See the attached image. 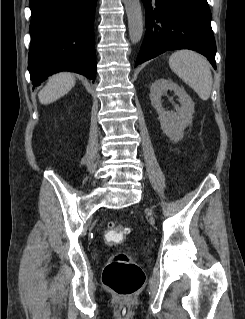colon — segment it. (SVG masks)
<instances>
[{"instance_id":"1","label":"colon","mask_w":245,"mask_h":319,"mask_svg":"<svg viewBox=\"0 0 245 319\" xmlns=\"http://www.w3.org/2000/svg\"><path fill=\"white\" fill-rule=\"evenodd\" d=\"M129 231L127 226L111 222L104 231V237L108 243L118 244L125 239ZM144 281L143 270L125 253L113 255L102 276L104 286L125 301L131 300L138 293Z\"/></svg>"}]
</instances>
